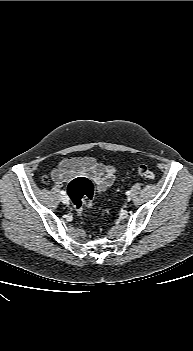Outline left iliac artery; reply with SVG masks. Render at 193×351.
<instances>
[{"label":"left iliac artery","mask_w":193,"mask_h":351,"mask_svg":"<svg viewBox=\"0 0 193 351\" xmlns=\"http://www.w3.org/2000/svg\"><path fill=\"white\" fill-rule=\"evenodd\" d=\"M130 194H131V192H130V191H127V192H126V195H130Z\"/></svg>","instance_id":"1"}]
</instances>
